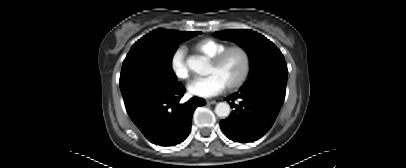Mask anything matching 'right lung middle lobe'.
<instances>
[{"label": "right lung middle lobe", "instance_id": "obj_1", "mask_svg": "<svg viewBox=\"0 0 406 168\" xmlns=\"http://www.w3.org/2000/svg\"><path fill=\"white\" fill-rule=\"evenodd\" d=\"M199 33L184 38L146 35L135 42L122 64L119 83L128 114L180 83L171 69L172 57L182 40Z\"/></svg>", "mask_w": 406, "mask_h": 168}]
</instances>
